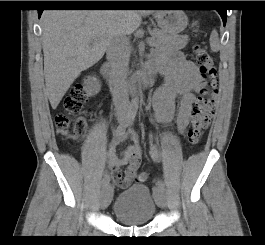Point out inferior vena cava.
<instances>
[{
  "label": "inferior vena cava",
  "instance_id": "602c4592",
  "mask_svg": "<svg viewBox=\"0 0 265 245\" xmlns=\"http://www.w3.org/2000/svg\"><path fill=\"white\" fill-rule=\"evenodd\" d=\"M107 58L112 63V75L115 81L113 102L116 113L125 115L129 108V98L126 90V80L130 50L126 36L114 35L107 47Z\"/></svg>",
  "mask_w": 265,
  "mask_h": 245
}]
</instances>
